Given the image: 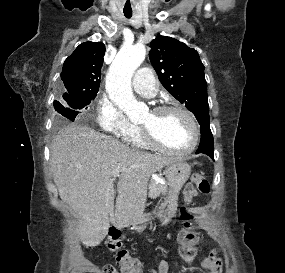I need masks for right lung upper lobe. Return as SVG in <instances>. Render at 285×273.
<instances>
[{"mask_svg":"<svg viewBox=\"0 0 285 273\" xmlns=\"http://www.w3.org/2000/svg\"><path fill=\"white\" fill-rule=\"evenodd\" d=\"M105 54L102 42H84L64 62L61 72L64 97L89 96L99 90Z\"/></svg>","mask_w":285,"mask_h":273,"instance_id":"right-lung-upper-lobe-1","label":"right lung upper lobe"}]
</instances>
